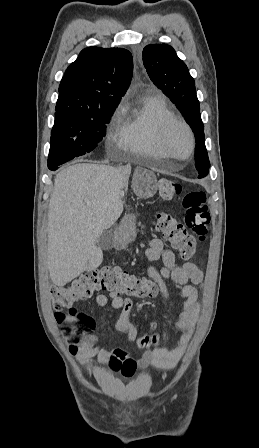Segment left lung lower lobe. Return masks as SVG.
I'll return each mask as SVG.
<instances>
[{"label": "left lung lower lobe", "mask_w": 259, "mask_h": 448, "mask_svg": "<svg viewBox=\"0 0 259 448\" xmlns=\"http://www.w3.org/2000/svg\"><path fill=\"white\" fill-rule=\"evenodd\" d=\"M207 173H199V178L206 176Z\"/></svg>", "instance_id": "1"}]
</instances>
